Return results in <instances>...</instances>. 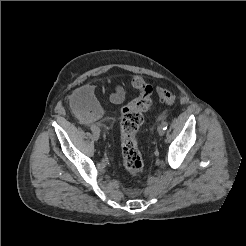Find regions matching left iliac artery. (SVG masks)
<instances>
[{
  "instance_id": "44dca946",
  "label": "left iliac artery",
  "mask_w": 246,
  "mask_h": 246,
  "mask_svg": "<svg viewBox=\"0 0 246 246\" xmlns=\"http://www.w3.org/2000/svg\"><path fill=\"white\" fill-rule=\"evenodd\" d=\"M161 125L163 126L164 130H166L168 127V123L166 121H163Z\"/></svg>"
}]
</instances>
